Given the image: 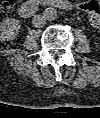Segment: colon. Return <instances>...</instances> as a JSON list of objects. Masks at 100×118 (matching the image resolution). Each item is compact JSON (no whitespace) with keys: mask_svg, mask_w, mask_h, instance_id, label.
I'll return each instance as SVG.
<instances>
[{"mask_svg":"<svg viewBox=\"0 0 100 118\" xmlns=\"http://www.w3.org/2000/svg\"><path fill=\"white\" fill-rule=\"evenodd\" d=\"M14 4V0H1V9L4 12L9 11ZM83 6H85V9L90 12V19L91 22L95 25H97L100 21V8L99 4L93 0L86 2Z\"/></svg>","mask_w":100,"mask_h":118,"instance_id":"colon-1","label":"colon"}]
</instances>
